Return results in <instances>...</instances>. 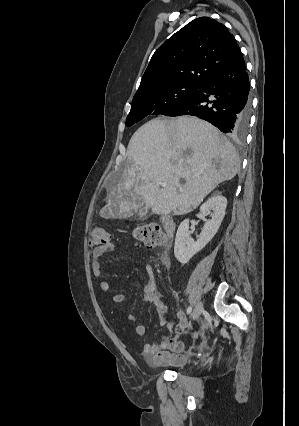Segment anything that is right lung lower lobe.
Listing matches in <instances>:
<instances>
[{"label":"right lung lower lobe","instance_id":"98d812e1","mask_svg":"<svg viewBox=\"0 0 299 426\" xmlns=\"http://www.w3.org/2000/svg\"><path fill=\"white\" fill-rule=\"evenodd\" d=\"M250 84L242 54L207 79L183 104L166 116L193 115L222 132L242 137L251 111Z\"/></svg>","mask_w":299,"mask_h":426}]
</instances>
